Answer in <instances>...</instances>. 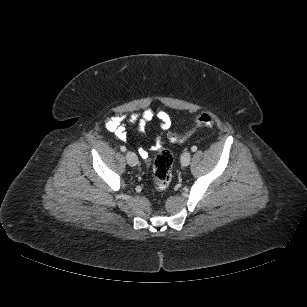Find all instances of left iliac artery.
I'll use <instances>...</instances> for the list:
<instances>
[{
	"label": "left iliac artery",
	"instance_id": "44dca946",
	"mask_svg": "<svg viewBox=\"0 0 307 307\" xmlns=\"http://www.w3.org/2000/svg\"><path fill=\"white\" fill-rule=\"evenodd\" d=\"M191 150H192V152H195L197 150V147L196 146H192Z\"/></svg>",
	"mask_w": 307,
	"mask_h": 307
}]
</instances>
